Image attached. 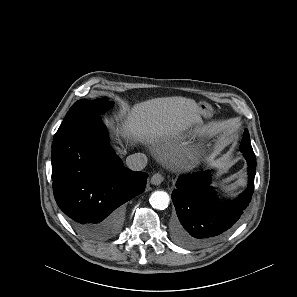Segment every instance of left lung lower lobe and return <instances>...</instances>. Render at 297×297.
Segmentation results:
<instances>
[{"label": "left lung lower lobe", "instance_id": "left-lung-lower-lobe-1", "mask_svg": "<svg viewBox=\"0 0 297 297\" xmlns=\"http://www.w3.org/2000/svg\"><path fill=\"white\" fill-rule=\"evenodd\" d=\"M248 164V185L235 201H221L209 187L210 171L181 175L172 193L179 221L172 228L174 242L185 247H204L230 232L241 220L254 192L256 157L242 152Z\"/></svg>", "mask_w": 297, "mask_h": 297}]
</instances>
